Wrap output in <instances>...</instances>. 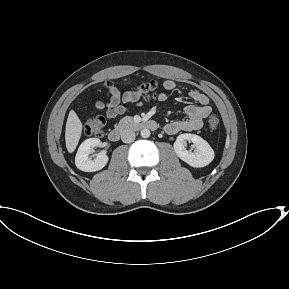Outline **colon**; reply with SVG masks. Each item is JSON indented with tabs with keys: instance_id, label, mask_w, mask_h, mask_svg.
Returning <instances> with one entry per match:
<instances>
[{
	"instance_id": "5ec220e1",
	"label": "colon",
	"mask_w": 289,
	"mask_h": 289,
	"mask_svg": "<svg viewBox=\"0 0 289 289\" xmlns=\"http://www.w3.org/2000/svg\"><path fill=\"white\" fill-rule=\"evenodd\" d=\"M106 87L108 89H112L113 84L111 82H107ZM138 89L140 91L141 96L145 100H149L155 95L157 84L154 81L143 83L138 87ZM219 125H220V120L218 116L214 114L209 116V118L207 119V128L210 131L217 130L219 128ZM104 127H105L104 118L101 116H95V117L90 118L86 122L84 126V132L87 136L100 137V136H103L105 132Z\"/></svg>"
}]
</instances>
